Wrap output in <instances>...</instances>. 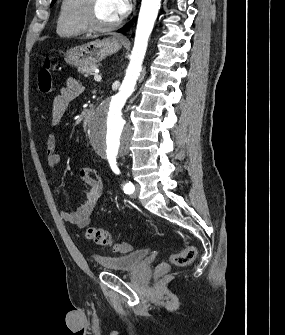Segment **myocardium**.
Here are the masks:
<instances>
[{"label": "myocardium", "mask_w": 285, "mask_h": 335, "mask_svg": "<svg viewBox=\"0 0 285 335\" xmlns=\"http://www.w3.org/2000/svg\"><path fill=\"white\" fill-rule=\"evenodd\" d=\"M84 2H85L84 24L87 32L92 34H105L113 31L118 26V21L109 26L98 25L95 20L96 1H84Z\"/></svg>", "instance_id": "myocardium-1"}]
</instances>
